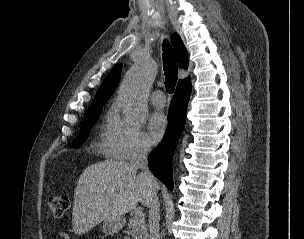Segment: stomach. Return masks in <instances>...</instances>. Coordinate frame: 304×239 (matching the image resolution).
<instances>
[{
  "label": "stomach",
  "instance_id": "stomach-1",
  "mask_svg": "<svg viewBox=\"0 0 304 239\" xmlns=\"http://www.w3.org/2000/svg\"><path fill=\"white\" fill-rule=\"evenodd\" d=\"M122 227L121 218L106 219L102 225V231L106 235L116 234Z\"/></svg>",
  "mask_w": 304,
  "mask_h": 239
}]
</instances>
